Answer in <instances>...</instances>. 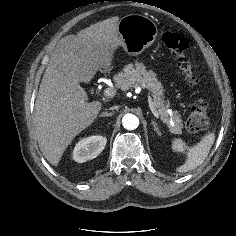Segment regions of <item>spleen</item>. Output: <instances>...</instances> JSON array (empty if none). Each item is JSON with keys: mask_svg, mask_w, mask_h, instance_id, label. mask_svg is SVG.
<instances>
[{"mask_svg": "<svg viewBox=\"0 0 236 236\" xmlns=\"http://www.w3.org/2000/svg\"><path fill=\"white\" fill-rule=\"evenodd\" d=\"M214 141L215 134L213 132L206 133L197 145L187 149V160L177 171L188 172L200 166L207 158ZM172 148L175 151L182 152L186 149V146L182 139L174 138Z\"/></svg>", "mask_w": 236, "mask_h": 236, "instance_id": "3e777b00", "label": "spleen"}]
</instances>
